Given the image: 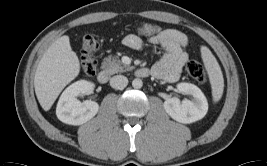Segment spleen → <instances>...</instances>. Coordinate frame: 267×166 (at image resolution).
<instances>
[{
	"mask_svg": "<svg viewBox=\"0 0 267 166\" xmlns=\"http://www.w3.org/2000/svg\"><path fill=\"white\" fill-rule=\"evenodd\" d=\"M202 57L209 75L214 102H218L223 94L224 79L221 68L212 53L205 47L202 48Z\"/></svg>",
	"mask_w": 267,
	"mask_h": 166,
	"instance_id": "spleen-1",
	"label": "spleen"
}]
</instances>
